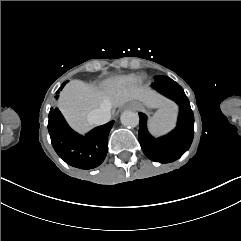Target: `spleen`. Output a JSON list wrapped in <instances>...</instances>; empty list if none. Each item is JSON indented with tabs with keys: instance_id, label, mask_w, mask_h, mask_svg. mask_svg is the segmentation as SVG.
<instances>
[{
	"instance_id": "obj_1",
	"label": "spleen",
	"mask_w": 241,
	"mask_h": 241,
	"mask_svg": "<svg viewBox=\"0 0 241 241\" xmlns=\"http://www.w3.org/2000/svg\"><path fill=\"white\" fill-rule=\"evenodd\" d=\"M174 112L168 109L158 110L151 119V130L155 134H161L170 128L174 124Z\"/></svg>"
}]
</instances>
